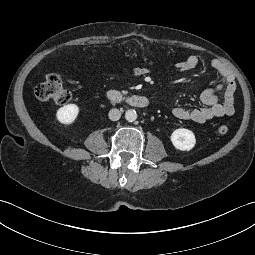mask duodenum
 <instances>
[{
  "instance_id": "410a0bca",
  "label": "duodenum",
  "mask_w": 255,
  "mask_h": 255,
  "mask_svg": "<svg viewBox=\"0 0 255 255\" xmlns=\"http://www.w3.org/2000/svg\"><path fill=\"white\" fill-rule=\"evenodd\" d=\"M107 99L112 103H123L136 108H146L149 101L141 95H125L119 90L110 89L106 92Z\"/></svg>"
}]
</instances>
